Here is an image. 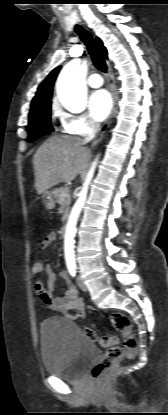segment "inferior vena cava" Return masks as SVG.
I'll list each match as a JSON object with an SVG mask.
<instances>
[{"mask_svg": "<svg viewBox=\"0 0 168 415\" xmlns=\"http://www.w3.org/2000/svg\"><path fill=\"white\" fill-rule=\"evenodd\" d=\"M98 130H99V124L98 123H95V122H91V124H90V131L84 137L83 143L85 144V143H88L91 140H93L94 137H95V135H96V133L98 132Z\"/></svg>", "mask_w": 168, "mask_h": 415, "instance_id": "602c4592", "label": "inferior vena cava"}]
</instances>
